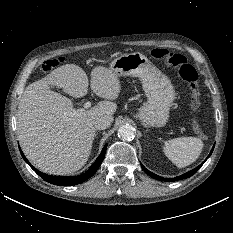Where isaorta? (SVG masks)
Listing matches in <instances>:
<instances>
[{
    "label": "aorta",
    "instance_id": "762f6f07",
    "mask_svg": "<svg viewBox=\"0 0 233 233\" xmlns=\"http://www.w3.org/2000/svg\"><path fill=\"white\" fill-rule=\"evenodd\" d=\"M135 128L132 125L125 124L119 127L118 136L122 140L130 141L135 137Z\"/></svg>",
    "mask_w": 233,
    "mask_h": 233
}]
</instances>
